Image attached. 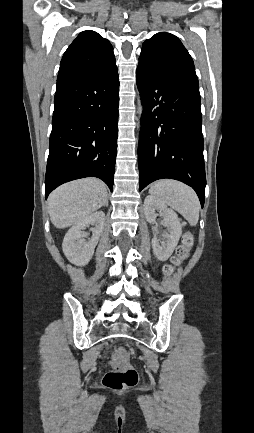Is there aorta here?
<instances>
[{
	"instance_id": "1",
	"label": "aorta",
	"mask_w": 254,
	"mask_h": 433,
	"mask_svg": "<svg viewBox=\"0 0 254 433\" xmlns=\"http://www.w3.org/2000/svg\"><path fill=\"white\" fill-rule=\"evenodd\" d=\"M143 112V106L141 104L140 98H138V114L141 115Z\"/></svg>"
}]
</instances>
